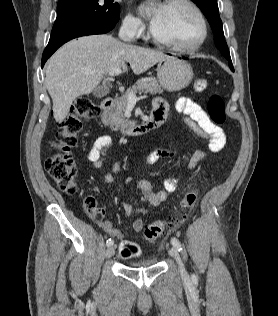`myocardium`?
Segmentation results:
<instances>
[{"instance_id": "1", "label": "myocardium", "mask_w": 278, "mask_h": 316, "mask_svg": "<svg viewBox=\"0 0 278 316\" xmlns=\"http://www.w3.org/2000/svg\"><path fill=\"white\" fill-rule=\"evenodd\" d=\"M165 4L166 5L184 4L188 6L198 18V21L200 23V28H201L200 36L198 40L192 45H187V46L176 45V44L160 39L154 33L153 28L151 26L149 35L152 42L158 46H161V47H164L176 52H180V53H192V52L197 51L204 44L208 36V24L201 8L192 0H166Z\"/></svg>"}]
</instances>
